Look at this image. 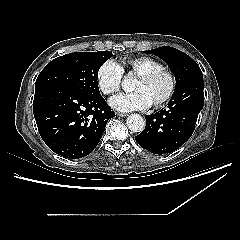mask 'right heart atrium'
<instances>
[{
	"instance_id": "d8ad5b80",
	"label": "right heart atrium",
	"mask_w": 240,
	"mask_h": 240,
	"mask_svg": "<svg viewBox=\"0 0 240 240\" xmlns=\"http://www.w3.org/2000/svg\"><path fill=\"white\" fill-rule=\"evenodd\" d=\"M121 79L122 72L112 60L104 62L97 71V84L104 94H111L118 90Z\"/></svg>"
}]
</instances>
